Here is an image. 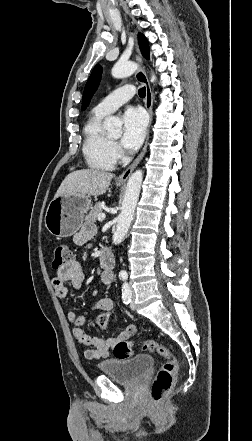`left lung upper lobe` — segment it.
<instances>
[{"label":"left lung upper lobe","mask_w":252,"mask_h":441,"mask_svg":"<svg viewBox=\"0 0 252 441\" xmlns=\"http://www.w3.org/2000/svg\"><path fill=\"white\" fill-rule=\"evenodd\" d=\"M139 45L143 56L149 59V45L148 41L144 35H138ZM102 68L100 65H96L93 69L84 89L83 100H82V110H84L95 93L96 89L99 86L100 78H101Z\"/></svg>","instance_id":"5c2ea615"}]
</instances>
